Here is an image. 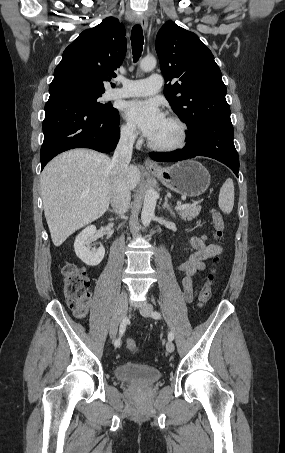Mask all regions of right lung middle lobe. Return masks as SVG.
Returning <instances> with one entry per match:
<instances>
[{
    "label": "right lung middle lobe",
    "instance_id": "right-lung-middle-lobe-1",
    "mask_svg": "<svg viewBox=\"0 0 285 453\" xmlns=\"http://www.w3.org/2000/svg\"><path fill=\"white\" fill-rule=\"evenodd\" d=\"M80 102H82L85 106H87L92 112L103 115V116H110L117 113V109L113 108L109 104H101L99 102V98L101 97L102 93H91V92H82V91H73L67 93Z\"/></svg>",
    "mask_w": 285,
    "mask_h": 453
}]
</instances>
